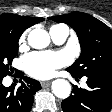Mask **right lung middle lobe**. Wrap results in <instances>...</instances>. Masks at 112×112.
<instances>
[{
	"label": "right lung middle lobe",
	"instance_id": "obj_1",
	"mask_svg": "<svg viewBox=\"0 0 112 112\" xmlns=\"http://www.w3.org/2000/svg\"><path fill=\"white\" fill-rule=\"evenodd\" d=\"M20 36L21 34H0V78H4L10 73L9 65L18 54Z\"/></svg>",
	"mask_w": 112,
	"mask_h": 112
}]
</instances>
